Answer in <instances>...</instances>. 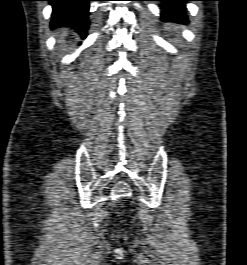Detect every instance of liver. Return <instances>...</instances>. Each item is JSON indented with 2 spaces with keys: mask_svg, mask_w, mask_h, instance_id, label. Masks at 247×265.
Masks as SVG:
<instances>
[{
  "mask_svg": "<svg viewBox=\"0 0 247 265\" xmlns=\"http://www.w3.org/2000/svg\"><path fill=\"white\" fill-rule=\"evenodd\" d=\"M67 33H68V29H65V28H63V29H61L59 32H58V37H59V43H62L63 42V40H64V37L67 35Z\"/></svg>",
  "mask_w": 247,
  "mask_h": 265,
  "instance_id": "obj_1",
  "label": "liver"
}]
</instances>
